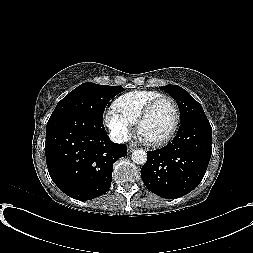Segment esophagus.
<instances>
[{
	"instance_id": "34e87169",
	"label": "esophagus",
	"mask_w": 253,
	"mask_h": 253,
	"mask_svg": "<svg viewBox=\"0 0 253 253\" xmlns=\"http://www.w3.org/2000/svg\"><path fill=\"white\" fill-rule=\"evenodd\" d=\"M136 149H137V146L135 144H129V146H128L129 153L133 152Z\"/></svg>"
}]
</instances>
